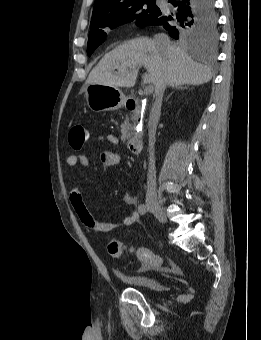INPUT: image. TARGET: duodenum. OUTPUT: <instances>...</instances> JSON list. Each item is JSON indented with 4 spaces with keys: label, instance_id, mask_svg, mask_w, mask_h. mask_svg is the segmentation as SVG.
<instances>
[{
    "label": "duodenum",
    "instance_id": "duodenum-1",
    "mask_svg": "<svg viewBox=\"0 0 261 340\" xmlns=\"http://www.w3.org/2000/svg\"><path fill=\"white\" fill-rule=\"evenodd\" d=\"M127 108L132 112H136L138 103L136 101H129L127 103ZM142 143V137L140 135H134L128 139L127 147L132 154L138 155L142 150Z\"/></svg>",
    "mask_w": 261,
    "mask_h": 340
}]
</instances>
